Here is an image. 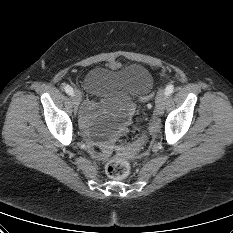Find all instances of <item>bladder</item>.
I'll return each instance as SVG.
<instances>
[{
    "label": "bladder",
    "mask_w": 233,
    "mask_h": 233,
    "mask_svg": "<svg viewBox=\"0 0 233 233\" xmlns=\"http://www.w3.org/2000/svg\"><path fill=\"white\" fill-rule=\"evenodd\" d=\"M86 90L100 98H112L100 105L105 112L90 122L95 110L89 117V133L95 139L112 135L130 116L132 104L130 98L147 96L153 89L154 81L150 71L140 65L131 64L121 69L96 67L84 78Z\"/></svg>",
    "instance_id": "bladder-1"
}]
</instances>
